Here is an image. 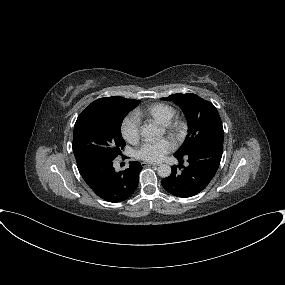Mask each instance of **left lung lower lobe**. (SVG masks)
Wrapping results in <instances>:
<instances>
[{"label": "left lung lower lobe", "mask_w": 285, "mask_h": 285, "mask_svg": "<svg viewBox=\"0 0 285 285\" xmlns=\"http://www.w3.org/2000/svg\"><path fill=\"white\" fill-rule=\"evenodd\" d=\"M223 151V141L217 140L199 146L184 156H174L183 163L187 159L188 167L182 172L172 167L169 177L161 181L162 186L172 195L187 198L200 193L210 183L219 167ZM179 165V167H180Z\"/></svg>", "instance_id": "left-lung-lower-lobe-1"}]
</instances>
